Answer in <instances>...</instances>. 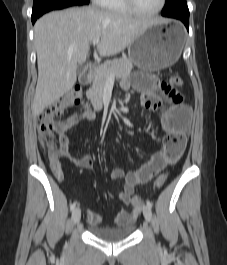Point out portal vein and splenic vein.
Returning a JSON list of instances; mask_svg holds the SVG:
<instances>
[{
	"instance_id": "obj_1",
	"label": "portal vein and splenic vein",
	"mask_w": 227,
	"mask_h": 265,
	"mask_svg": "<svg viewBox=\"0 0 227 265\" xmlns=\"http://www.w3.org/2000/svg\"><path fill=\"white\" fill-rule=\"evenodd\" d=\"M99 41H100V38L98 37V38L93 39L92 43H93V45H96L99 43Z\"/></svg>"
}]
</instances>
